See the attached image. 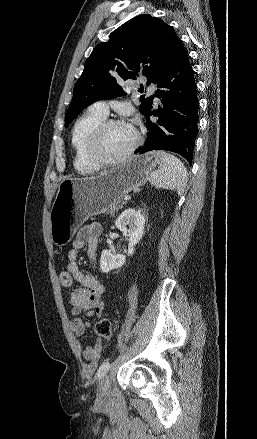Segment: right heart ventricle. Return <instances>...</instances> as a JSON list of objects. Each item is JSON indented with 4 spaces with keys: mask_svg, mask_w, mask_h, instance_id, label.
<instances>
[{
    "mask_svg": "<svg viewBox=\"0 0 257 439\" xmlns=\"http://www.w3.org/2000/svg\"><path fill=\"white\" fill-rule=\"evenodd\" d=\"M105 120V115L90 109L83 114L75 123L71 145L74 151V166L83 174H91L98 166L92 161L88 153V140L95 127Z\"/></svg>",
    "mask_w": 257,
    "mask_h": 439,
    "instance_id": "1",
    "label": "right heart ventricle"
}]
</instances>
